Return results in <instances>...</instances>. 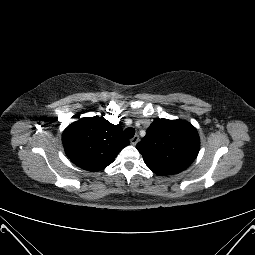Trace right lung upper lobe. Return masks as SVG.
Wrapping results in <instances>:
<instances>
[{
    "instance_id": "right-lung-upper-lobe-1",
    "label": "right lung upper lobe",
    "mask_w": 255,
    "mask_h": 255,
    "mask_svg": "<svg viewBox=\"0 0 255 255\" xmlns=\"http://www.w3.org/2000/svg\"><path fill=\"white\" fill-rule=\"evenodd\" d=\"M62 143L70 160L88 171L96 172L111 164L129 141L122 137V127L103 117H86L70 124Z\"/></svg>"
}]
</instances>
